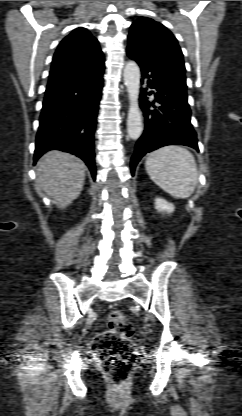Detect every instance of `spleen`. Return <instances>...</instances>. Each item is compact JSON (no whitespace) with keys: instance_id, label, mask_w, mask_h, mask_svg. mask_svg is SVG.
Wrapping results in <instances>:
<instances>
[{"instance_id":"spleen-1","label":"spleen","mask_w":242,"mask_h":416,"mask_svg":"<svg viewBox=\"0 0 242 416\" xmlns=\"http://www.w3.org/2000/svg\"><path fill=\"white\" fill-rule=\"evenodd\" d=\"M145 168L154 183L177 198H188L198 182L195 158L181 146L170 145L151 152Z\"/></svg>"}]
</instances>
